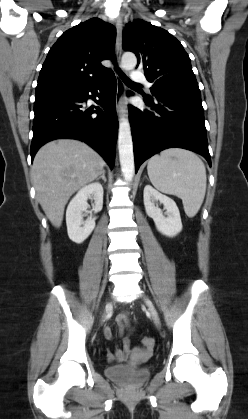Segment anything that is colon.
Masks as SVG:
<instances>
[{"mask_svg":"<svg viewBox=\"0 0 248 419\" xmlns=\"http://www.w3.org/2000/svg\"><path fill=\"white\" fill-rule=\"evenodd\" d=\"M142 345L144 346L145 349L152 350L153 346H154V341L150 337H143L142 338Z\"/></svg>","mask_w":248,"mask_h":419,"instance_id":"obj_1","label":"colon"}]
</instances>
